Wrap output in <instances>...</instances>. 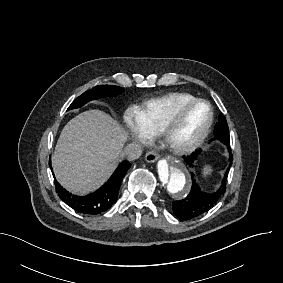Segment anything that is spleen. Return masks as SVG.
<instances>
[{
  "mask_svg": "<svg viewBox=\"0 0 283 283\" xmlns=\"http://www.w3.org/2000/svg\"><path fill=\"white\" fill-rule=\"evenodd\" d=\"M212 173V168L210 166H205L203 168L202 174L204 177L210 175Z\"/></svg>",
  "mask_w": 283,
  "mask_h": 283,
  "instance_id": "obj_1",
  "label": "spleen"
}]
</instances>
